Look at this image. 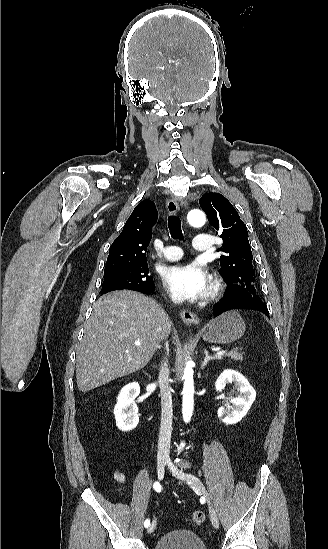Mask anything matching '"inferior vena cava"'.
<instances>
[{
	"label": "inferior vena cava",
	"instance_id": "1",
	"mask_svg": "<svg viewBox=\"0 0 328 549\" xmlns=\"http://www.w3.org/2000/svg\"><path fill=\"white\" fill-rule=\"evenodd\" d=\"M159 379L162 411L158 441V455H169L172 433L173 409L171 391L169 387V369L167 363H164V365H162Z\"/></svg>",
	"mask_w": 328,
	"mask_h": 549
}]
</instances>
